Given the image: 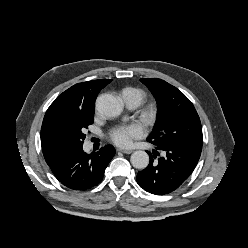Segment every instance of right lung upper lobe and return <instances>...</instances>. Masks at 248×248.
<instances>
[{
    "label": "right lung upper lobe",
    "instance_id": "right-lung-upper-lobe-1",
    "mask_svg": "<svg viewBox=\"0 0 248 248\" xmlns=\"http://www.w3.org/2000/svg\"><path fill=\"white\" fill-rule=\"evenodd\" d=\"M111 81L98 79L75 84L60 94L49 106L41 127V146L48 165L72 148L58 134L57 122L70 113L94 112L98 93Z\"/></svg>",
    "mask_w": 248,
    "mask_h": 248
}]
</instances>
